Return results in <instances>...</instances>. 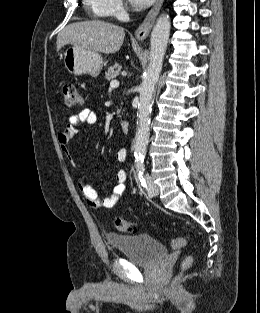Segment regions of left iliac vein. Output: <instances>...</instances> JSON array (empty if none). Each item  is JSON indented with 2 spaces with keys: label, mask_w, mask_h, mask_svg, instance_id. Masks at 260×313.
Here are the masks:
<instances>
[{
  "label": "left iliac vein",
  "mask_w": 260,
  "mask_h": 313,
  "mask_svg": "<svg viewBox=\"0 0 260 313\" xmlns=\"http://www.w3.org/2000/svg\"><path fill=\"white\" fill-rule=\"evenodd\" d=\"M145 178H146L149 194L152 196H157L159 194L158 185L154 182L153 178L150 175L146 174Z\"/></svg>",
  "instance_id": "4c4485c4"
}]
</instances>
